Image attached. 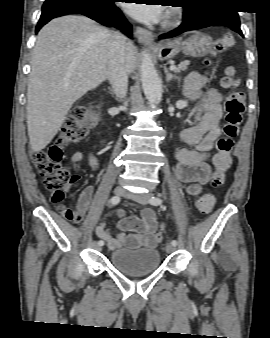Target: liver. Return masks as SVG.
<instances>
[{
  "instance_id": "1",
  "label": "liver",
  "mask_w": 270,
  "mask_h": 338,
  "mask_svg": "<svg viewBox=\"0 0 270 338\" xmlns=\"http://www.w3.org/2000/svg\"><path fill=\"white\" fill-rule=\"evenodd\" d=\"M112 34L84 16L53 19L38 33L27 89V128L34 152L52 141L75 101L108 79ZM125 62L132 73L136 48L128 39Z\"/></svg>"
}]
</instances>
